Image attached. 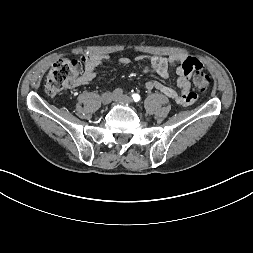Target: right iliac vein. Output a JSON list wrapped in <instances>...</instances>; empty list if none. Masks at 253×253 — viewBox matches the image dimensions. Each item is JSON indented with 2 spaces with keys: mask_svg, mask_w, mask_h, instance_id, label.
Wrapping results in <instances>:
<instances>
[{
  "mask_svg": "<svg viewBox=\"0 0 253 253\" xmlns=\"http://www.w3.org/2000/svg\"><path fill=\"white\" fill-rule=\"evenodd\" d=\"M112 99L113 95L111 92H105L101 96V102L103 105H108L109 103H111Z\"/></svg>",
  "mask_w": 253,
  "mask_h": 253,
  "instance_id": "right-iliac-vein-1",
  "label": "right iliac vein"
}]
</instances>
